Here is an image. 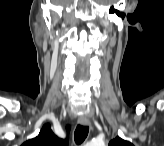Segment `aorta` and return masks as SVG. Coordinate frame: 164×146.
<instances>
[{
  "instance_id": "762f6f07",
  "label": "aorta",
  "mask_w": 164,
  "mask_h": 146,
  "mask_svg": "<svg viewBox=\"0 0 164 146\" xmlns=\"http://www.w3.org/2000/svg\"><path fill=\"white\" fill-rule=\"evenodd\" d=\"M92 146H103V142H93Z\"/></svg>"
}]
</instances>
